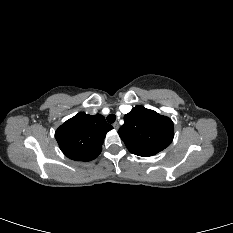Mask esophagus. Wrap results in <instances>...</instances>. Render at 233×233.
<instances>
[{
	"mask_svg": "<svg viewBox=\"0 0 233 233\" xmlns=\"http://www.w3.org/2000/svg\"><path fill=\"white\" fill-rule=\"evenodd\" d=\"M113 127H114V129L117 130L119 128V123L118 122L113 123Z\"/></svg>",
	"mask_w": 233,
	"mask_h": 233,
	"instance_id": "esophagus-1",
	"label": "esophagus"
}]
</instances>
